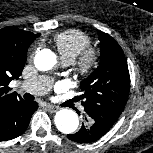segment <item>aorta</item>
<instances>
[{
  "mask_svg": "<svg viewBox=\"0 0 153 153\" xmlns=\"http://www.w3.org/2000/svg\"><path fill=\"white\" fill-rule=\"evenodd\" d=\"M34 64L38 70H50L56 64V55L49 49H43L36 54ZM54 121L57 129L64 134L75 132L79 126L77 114L70 109L59 110Z\"/></svg>",
  "mask_w": 153,
  "mask_h": 153,
  "instance_id": "aorta-1",
  "label": "aorta"
}]
</instances>
